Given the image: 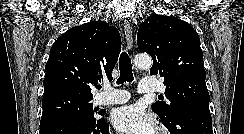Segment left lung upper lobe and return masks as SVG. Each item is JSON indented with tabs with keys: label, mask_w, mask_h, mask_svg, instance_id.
<instances>
[{
	"label": "left lung upper lobe",
	"mask_w": 244,
	"mask_h": 134,
	"mask_svg": "<svg viewBox=\"0 0 244 134\" xmlns=\"http://www.w3.org/2000/svg\"><path fill=\"white\" fill-rule=\"evenodd\" d=\"M200 39L193 27L176 17L156 15L138 29L137 45L153 59L150 74L164 77L166 96L171 101L155 102L152 110L169 120L177 110L191 108L210 113Z\"/></svg>",
	"instance_id": "1"
}]
</instances>
